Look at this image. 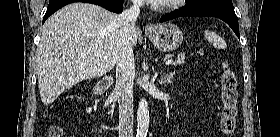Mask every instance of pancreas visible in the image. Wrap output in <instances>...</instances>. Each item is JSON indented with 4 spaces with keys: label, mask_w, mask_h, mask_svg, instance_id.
<instances>
[{
    "label": "pancreas",
    "mask_w": 280,
    "mask_h": 137,
    "mask_svg": "<svg viewBox=\"0 0 280 137\" xmlns=\"http://www.w3.org/2000/svg\"><path fill=\"white\" fill-rule=\"evenodd\" d=\"M184 59H185V55L184 54H180V55H178V57H177L176 61L174 62V64L180 63Z\"/></svg>",
    "instance_id": "1"
}]
</instances>
